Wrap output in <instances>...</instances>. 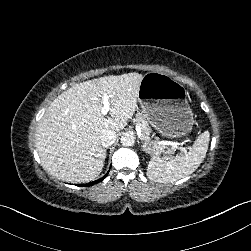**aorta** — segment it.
I'll use <instances>...</instances> for the list:
<instances>
[{
    "mask_svg": "<svg viewBox=\"0 0 251 251\" xmlns=\"http://www.w3.org/2000/svg\"><path fill=\"white\" fill-rule=\"evenodd\" d=\"M120 142L123 146H133L135 143V137L131 133H123Z\"/></svg>",
    "mask_w": 251,
    "mask_h": 251,
    "instance_id": "obj_1",
    "label": "aorta"
}]
</instances>
